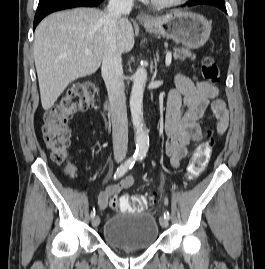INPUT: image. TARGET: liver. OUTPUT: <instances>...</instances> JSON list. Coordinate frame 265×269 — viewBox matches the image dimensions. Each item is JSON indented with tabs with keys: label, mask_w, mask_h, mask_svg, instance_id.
<instances>
[{
	"label": "liver",
	"mask_w": 265,
	"mask_h": 269,
	"mask_svg": "<svg viewBox=\"0 0 265 269\" xmlns=\"http://www.w3.org/2000/svg\"><path fill=\"white\" fill-rule=\"evenodd\" d=\"M104 17L98 9L76 8L53 13L37 26L34 60L44 110L52 108L70 83L99 69L105 51ZM116 41L120 53L134 46L133 27L126 18L118 21Z\"/></svg>",
	"instance_id": "6515ba94"
}]
</instances>
